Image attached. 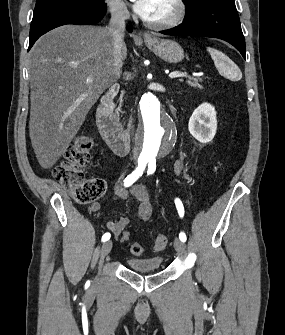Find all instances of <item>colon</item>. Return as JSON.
Masks as SVG:
<instances>
[{"mask_svg":"<svg viewBox=\"0 0 285 335\" xmlns=\"http://www.w3.org/2000/svg\"><path fill=\"white\" fill-rule=\"evenodd\" d=\"M93 139L89 135L79 136L70 145L64 154V161L54 169L55 179L71 194L73 199L80 204H90L98 200L106 191V183L101 178L85 177V167L91 159ZM130 233L125 231L121 241L128 242ZM166 236L158 234L154 238L153 248L162 251L167 247ZM133 255L139 256L143 253L140 244L134 243L130 246Z\"/></svg>","mask_w":285,"mask_h":335,"instance_id":"colon-1","label":"colon"}]
</instances>
